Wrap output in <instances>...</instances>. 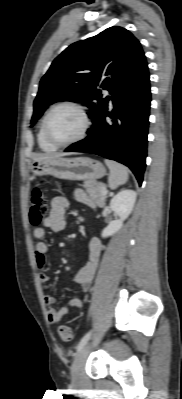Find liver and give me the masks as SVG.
<instances>
[{
  "mask_svg": "<svg viewBox=\"0 0 182 399\" xmlns=\"http://www.w3.org/2000/svg\"><path fill=\"white\" fill-rule=\"evenodd\" d=\"M61 155H55V156H49V155H45L42 157H39L37 160H43V159H48V158H53V157H60Z\"/></svg>",
  "mask_w": 182,
  "mask_h": 399,
  "instance_id": "1",
  "label": "liver"
}]
</instances>
